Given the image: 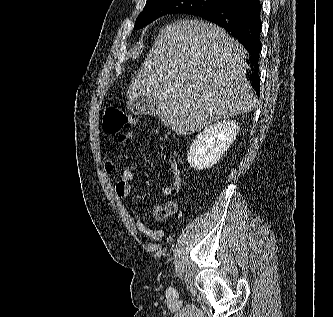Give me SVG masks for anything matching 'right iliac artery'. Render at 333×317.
<instances>
[{"label": "right iliac artery", "instance_id": "right-iliac-artery-1", "mask_svg": "<svg viewBox=\"0 0 333 317\" xmlns=\"http://www.w3.org/2000/svg\"><path fill=\"white\" fill-rule=\"evenodd\" d=\"M168 292H169V293H174L175 290H174L172 287H170V288L168 289Z\"/></svg>", "mask_w": 333, "mask_h": 317}]
</instances>
